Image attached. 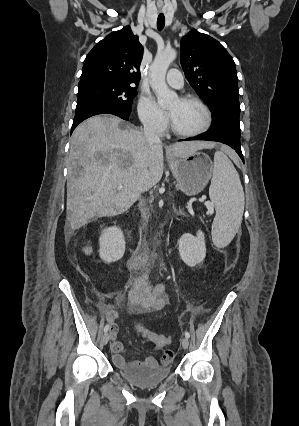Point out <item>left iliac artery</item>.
<instances>
[{"mask_svg":"<svg viewBox=\"0 0 299 426\" xmlns=\"http://www.w3.org/2000/svg\"><path fill=\"white\" fill-rule=\"evenodd\" d=\"M185 337H187V338L190 337V333L188 331H185Z\"/></svg>","mask_w":299,"mask_h":426,"instance_id":"left-iliac-artery-1","label":"left iliac artery"}]
</instances>
